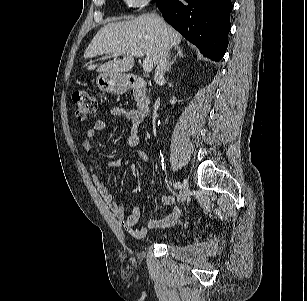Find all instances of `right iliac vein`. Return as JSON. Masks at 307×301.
Instances as JSON below:
<instances>
[{"label": "right iliac vein", "instance_id": "1", "mask_svg": "<svg viewBox=\"0 0 307 301\" xmlns=\"http://www.w3.org/2000/svg\"><path fill=\"white\" fill-rule=\"evenodd\" d=\"M189 194L188 180L184 179L181 188V200L185 201Z\"/></svg>", "mask_w": 307, "mask_h": 301}]
</instances>
